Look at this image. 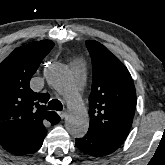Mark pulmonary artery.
I'll use <instances>...</instances> for the list:
<instances>
[{
    "instance_id": "pulmonary-artery-1",
    "label": "pulmonary artery",
    "mask_w": 165,
    "mask_h": 165,
    "mask_svg": "<svg viewBox=\"0 0 165 165\" xmlns=\"http://www.w3.org/2000/svg\"><path fill=\"white\" fill-rule=\"evenodd\" d=\"M72 69L74 71V74L76 76V78H81L82 73H83V64L81 61H74L72 63Z\"/></svg>"
}]
</instances>
